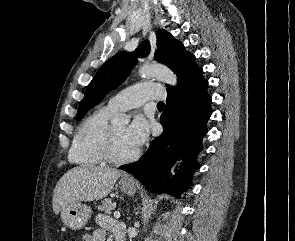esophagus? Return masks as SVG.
I'll use <instances>...</instances> for the list:
<instances>
[{"label": "esophagus", "mask_w": 295, "mask_h": 241, "mask_svg": "<svg viewBox=\"0 0 295 241\" xmlns=\"http://www.w3.org/2000/svg\"><path fill=\"white\" fill-rule=\"evenodd\" d=\"M124 178H125V179H130V177H129V176H125Z\"/></svg>", "instance_id": "34e87169"}]
</instances>
